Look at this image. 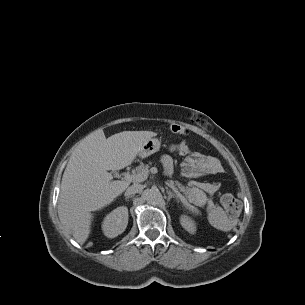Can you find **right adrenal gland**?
<instances>
[{
    "mask_svg": "<svg viewBox=\"0 0 305 305\" xmlns=\"http://www.w3.org/2000/svg\"><path fill=\"white\" fill-rule=\"evenodd\" d=\"M131 197H132V196H126L125 199L127 200V199H129V198H131Z\"/></svg>",
    "mask_w": 305,
    "mask_h": 305,
    "instance_id": "right-adrenal-gland-1",
    "label": "right adrenal gland"
}]
</instances>
